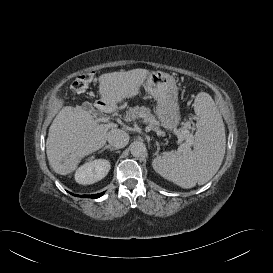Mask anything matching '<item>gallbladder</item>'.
Wrapping results in <instances>:
<instances>
[{
  "label": "gallbladder",
  "instance_id": "gallbladder-1",
  "mask_svg": "<svg viewBox=\"0 0 273 273\" xmlns=\"http://www.w3.org/2000/svg\"><path fill=\"white\" fill-rule=\"evenodd\" d=\"M82 108L88 112H93L92 104L89 102H85L82 104Z\"/></svg>",
  "mask_w": 273,
  "mask_h": 273
}]
</instances>
